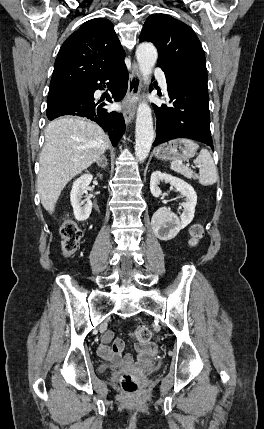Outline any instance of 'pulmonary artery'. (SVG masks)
<instances>
[{"instance_id":"obj_1","label":"pulmonary artery","mask_w":264,"mask_h":429,"mask_svg":"<svg viewBox=\"0 0 264 429\" xmlns=\"http://www.w3.org/2000/svg\"><path fill=\"white\" fill-rule=\"evenodd\" d=\"M154 75L158 79L159 84L162 87V89L166 90L167 89V82H166V77H165L164 73L160 69H155Z\"/></svg>"}]
</instances>
